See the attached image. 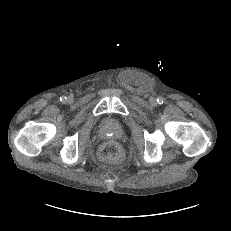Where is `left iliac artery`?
Wrapping results in <instances>:
<instances>
[{"instance_id": "left-iliac-artery-1", "label": "left iliac artery", "mask_w": 231, "mask_h": 231, "mask_svg": "<svg viewBox=\"0 0 231 231\" xmlns=\"http://www.w3.org/2000/svg\"><path fill=\"white\" fill-rule=\"evenodd\" d=\"M157 102H158L159 104H163L164 98H163V97H159V98L157 99Z\"/></svg>"}]
</instances>
